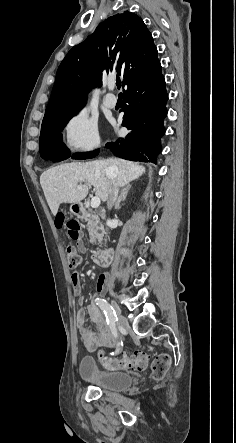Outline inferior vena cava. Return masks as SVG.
Here are the masks:
<instances>
[{
  "label": "inferior vena cava",
  "mask_w": 236,
  "mask_h": 443,
  "mask_svg": "<svg viewBox=\"0 0 236 443\" xmlns=\"http://www.w3.org/2000/svg\"><path fill=\"white\" fill-rule=\"evenodd\" d=\"M107 174L111 175L113 177V179H114L113 188H112V190L110 192V196H109V199L107 201L108 209H111V207L114 205V203H115V201L117 199V196H118V184L116 183V180H115V170H114L113 167H109L107 169ZM110 223H111V221L107 220V225L108 226L110 225Z\"/></svg>",
  "instance_id": "1"
}]
</instances>
